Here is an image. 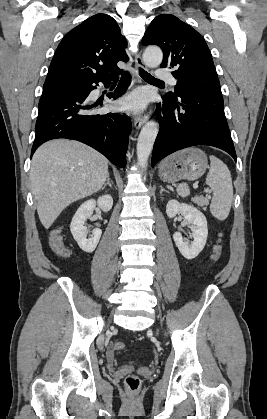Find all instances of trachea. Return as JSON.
Instances as JSON below:
<instances>
[{"mask_svg":"<svg viewBox=\"0 0 267 419\" xmlns=\"http://www.w3.org/2000/svg\"><path fill=\"white\" fill-rule=\"evenodd\" d=\"M139 74L145 80H150V81H155V82H162L161 80H158V79L154 78L152 75H150L149 73H147L142 68H139Z\"/></svg>","mask_w":267,"mask_h":419,"instance_id":"trachea-1","label":"trachea"}]
</instances>
